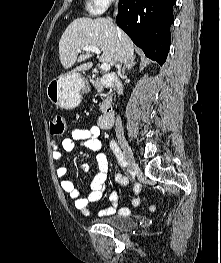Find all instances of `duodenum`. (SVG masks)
Returning a JSON list of instances; mask_svg holds the SVG:
<instances>
[{
  "mask_svg": "<svg viewBox=\"0 0 221 263\" xmlns=\"http://www.w3.org/2000/svg\"><path fill=\"white\" fill-rule=\"evenodd\" d=\"M101 80L106 86H114L117 82L116 76L113 74H104ZM114 109L111 103H107L104 112L99 120V125L102 129H109L113 124Z\"/></svg>",
  "mask_w": 221,
  "mask_h": 263,
  "instance_id": "obj_1",
  "label": "duodenum"
}]
</instances>
